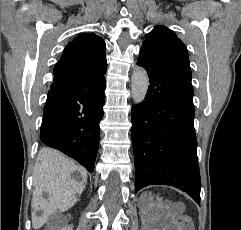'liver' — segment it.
<instances>
[{"label":"liver","mask_w":241,"mask_h":230,"mask_svg":"<svg viewBox=\"0 0 241 230\" xmlns=\"http://www.w3.org/2000/svg\"><path fill=\"white\" fill-rule=\"evenodd\" d=\"M38 160L34 170V184L39 193L33 195L32 199L34 229L42 227L55 211L65 212L73 207L78 200L76 195L83 192L87 182L86 170L59 151L43 148L38 153ZM75 172L80 175L81 180L72 176ZM43 188L51 194L48 200L41 195ZM39 211L42 214L37 216Z\"/></svg>","instance_id":"1"}]
</instances>
